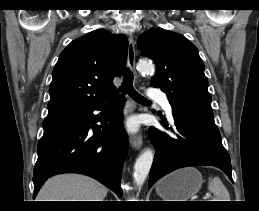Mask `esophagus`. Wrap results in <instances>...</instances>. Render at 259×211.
Masks as SVG:
<instances>
[{
  "label": "esophagus",
  "instance_id": "obj_1",
  "mask_svg": "<svg viewBox=\"0 0 259 211\" xmlns=\"http://www.w3.org/2000/svg\"><path fill=\"white\" fill-rule=\"evenodd\" d=\"M128 65L131 71L135 72V46L132 36L128 39ZM143 143L141 134H133L130 136V144L133 148H141Z\"/></svg>",
  "mask_w": 259,
  "mask_h": 211
}]
</instances>
